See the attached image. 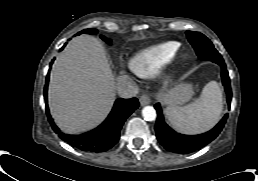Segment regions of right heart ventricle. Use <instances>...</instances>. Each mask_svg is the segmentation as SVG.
Segmentation results:
<instances>
[{"instance_id": "right-heart-ventricle-1", "label": "right heart ventricle", "mask_w": 258, "mask_h": 181, "mask_svg": "<svg viewBox=\"0 0 258 181\" xmlns=\"http://www.w3.org/2000/svg\"><path fill=\"white\" fill-rule=\"evenodd\" d=\"M179 44L174 41L150 45L138 51L129 62L133 72L149 77L169 63L177 54Z\"/></svg>"}]
</instances>
